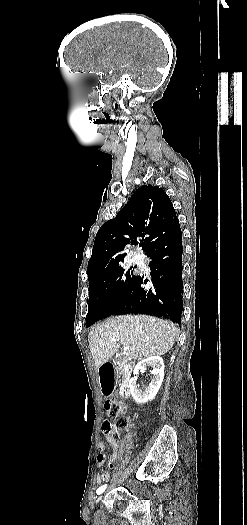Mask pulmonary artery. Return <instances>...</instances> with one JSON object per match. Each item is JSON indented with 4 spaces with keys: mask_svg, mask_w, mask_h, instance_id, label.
Returning <instances> with one entry per match:
<instances>
[{
    "mask_svg": "<svg viewBox=\"0 0 247 525\" xmlns=\"http://www.w3.org/2000/svg\"><path fill=\"white\" fill-rule=\"evenodd\" d=\"M130 261H144L140 254H135L131 257Z\"/></svg>",
    "mask_w": 247,
    "mask_h": 525,
    "instance_id": "obj_1",
    "label": "pulmonary artery"
}]
</instances>
